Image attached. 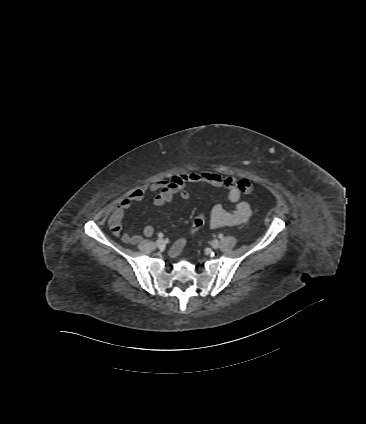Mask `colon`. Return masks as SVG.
<instances>
[{
	"mask_svg": "<svg viewBox=\"0 0 366 424\" xmlns=\"http://www.w3.org/2000/svg\"><path fill=\"white\" fill-rule=\"evenodd\" d=\"M238 187L243 194H250L253 192V185L247 180H240ZM205 222V216L203 214L197 216L191 225V232L194 233L198 231Z\"/></svg>",
	"mask_w": 366,
	"mask_h": 424,
	"instance_id": "colon-1",
	"label": "colon"
}]
</instances>
